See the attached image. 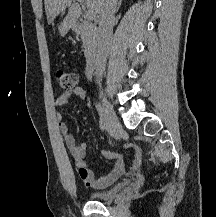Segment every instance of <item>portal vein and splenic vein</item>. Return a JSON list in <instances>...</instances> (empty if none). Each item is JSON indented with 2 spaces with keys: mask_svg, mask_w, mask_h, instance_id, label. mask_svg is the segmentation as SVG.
Wrapping results in <instances>:
<instances>
[{
  "mask_svg": "<svg viewBox=\"0 0 216 217\" xmlns=\"http://www.w3.org/2000/svg\"><path fill=\"white\" fill-rule=\"evenodd\" d=\"M78 2L81 3V4H83V3H84V0H78ZM94 17H95V13H94L93 11H91V10L88 9V10L86 11V18H87L88 20H92Z\"/></svg>",
  "mask_w": 216,
  "mask_h": 217,
  "instance_id": "18ae733b",
  "label": "portal vein and splenic vein"
}]
</instances>
